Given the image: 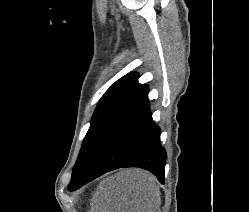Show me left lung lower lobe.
<instances>
[{
  "label": "left lung lower lobe",
  "mask_w": 249,
  "mask_h": 212,
  "mask_svg": "<svg viewBox=\"0 0 249 212\" xmlns=\"http://www.w3.org/2000/svg\"><path fill=\"white\" fill-rule=\"evenodd\" d=\"M160 132L152 120L147 89L109 129L80 176L70 181L68 190L75 191L121 167L146 169L164 183L167 155Z\"/></svg>",
  "instance_id": "0a47b994"
}]
</instances>
